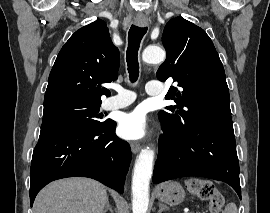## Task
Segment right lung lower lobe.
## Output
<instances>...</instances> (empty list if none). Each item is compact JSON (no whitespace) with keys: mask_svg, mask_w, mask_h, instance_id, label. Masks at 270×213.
Listing matches in <instances>:
<instances>
[{"mask_svg":"<svg viewBox=\"0 0 270 213\" xmlns=\"http://www.w3.org/2000/svg\"><path fill=\"white\" fill-rule=\"evenodd\" d=\"M115 127L112 120L98 129L42 125L31 162V206L45 185L73 176L93 178L123 193L131 151L115 135Z\"/></svg>","mask_w":270,"mask_h":213,"instance_id":"right-lung-lower-lobe-1","label":"right lung lower lobe"}]
</instances>
